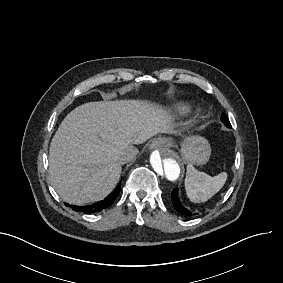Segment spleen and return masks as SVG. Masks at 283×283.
<instances>
[{
    "mask_svg": "<svg viewBox=\"0 0 283 283\" xmlns=\"http://www.w3.org/2000/svg\"><path fill=\"white\" fill-rule=\"evenodd\" d=\"M227 173L221 172L212 177L198 171L191 164L187 165L185 190L191 202H206L214 196L225 184Z\"/></svg>",
    "mask_w": 283,
    "mask_h": 283,
    "instance_id": "3e777b00",
    "label": "spleen"
}]
</instances>
